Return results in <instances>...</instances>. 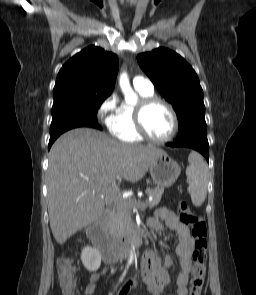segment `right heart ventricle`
Segmentation results:
<instances>
[{
  "instance_id": "e07e8e85",
  "label": "right heart ventricle",
  "mask_w": 256,
  "mask_h": 295,
  "mask_svg": "<svg viewBox=\"0 0 256 295\" xmlns=\"http://www.w3.org/2000/svg\"><path fill=\"white\" fill-rule=\"evenodd\" d=\"M136 89V88H135ZM140 98H147L154 95V92H147L136 89ZM112 134L124 142H139L143 139L136 130L134 123V106L124 103L120 107V112L117 121L111 125Z\"/></svg>"
}]
</instances>
